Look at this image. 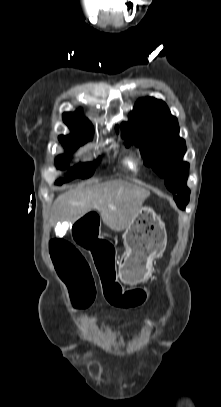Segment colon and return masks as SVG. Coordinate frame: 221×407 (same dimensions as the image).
Wrapping results in <instances>:
<instances>
[{
    "instance_id": "colon-1",
    "label": "colon",
    "mask_w": 221,
    "mask_h": 407,
    "mask_svg": "<svg viewBox=\"0 0 221 407\" xmlns=\"http://www.w3.org/2000/svg\"><path fill=\"white\" fill-rule=\"evenodd\" d=\"M96 210H87L73 222V239L93 253L95 268L105 294L107 306L115 311H132L134 306H147L151 293L144 283H135L122 290L116 278L112 246L103 240V230ZM50 253L55 268L66 283L75 302L82 308L89 307L96 295V286L89 264L81 252L70 242L53 239Z\"/></svg>"
}]
</instances>
